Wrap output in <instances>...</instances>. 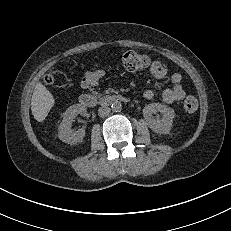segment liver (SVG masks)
Returning <instances> with one entry per match:
<instances>
[{"mask_svg":"<svg viewBox=\"0 0 231 231\" xmlns=\"http://www.w3.org/2000/svg\"><path fill=\"white\" fill-rule=\"evenodd\" d=\"M53 105V95L41 82H38L31 99V110L34 118L38 122H43Z\"/></svg>","mask_w":231,"mask_h":231,"instance_id":"obj_1","label":"liver"}]
</instances>
